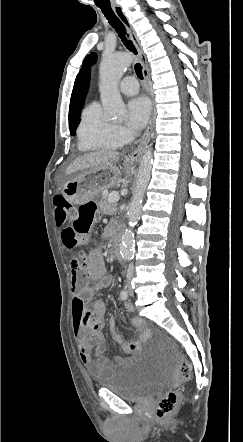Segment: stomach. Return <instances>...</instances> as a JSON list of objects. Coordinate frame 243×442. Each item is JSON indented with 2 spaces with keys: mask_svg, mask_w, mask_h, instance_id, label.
Segmentation results:
<instances>
[{
  "mask_svg": "<svg viewBox=\"0 0 243 442\" xmlns=\"http://www.w3.org/2000/svg\"><path fill=\"white\" fill-rule=\"evenodd\" d=\"M120 170L114 163L99 165L76 177L63 186V195L74 204H82L116 185Z\"/></svg>",
  "mask_w": 243,
  "mask_h": 442,
  "instance_id": "1",
  "label": "stomach"
}]
</instances>
